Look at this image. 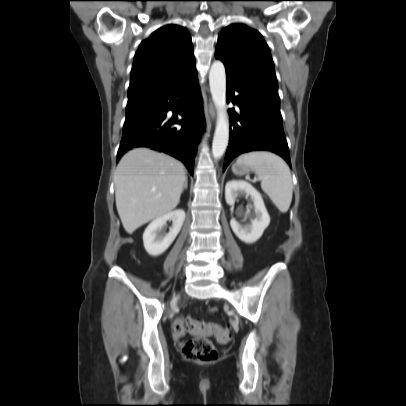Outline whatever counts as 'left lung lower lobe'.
<instances>
[{"label":"left lung lower lobe","instance_id":"0a47b994","mask_svg":"<svg viewBox=\"0 0 406 406\" xmlns=\"http://www.w3.org/2000/svg\"><path fill=\"white\" fill-rule=\"evenodd\" d=\"M227 98L238 105L240 112L236 114L234 109L229 110L232 119L224 170L239 154L255 150L276 153L291 167L279 96L252 87L227 73Z\"/></svg>","mask_w":406,"mask_h":406}]
</instances>
